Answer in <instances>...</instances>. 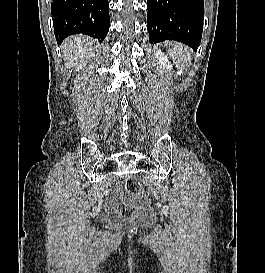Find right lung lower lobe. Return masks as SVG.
<instances>
[{
	"instance_id": "98d812e1",
	"label": "right lung lower lobe",
	"mask_w": 265,
	"mask_h": 273,
	"mask_svg": "<svg viewBox=\"0 0 265 273\" xmlns=\"http://www.w3.org/2000/svg\"><path fill=\"white\" fill-rule=\"evenodd\" d=\"M108 0H53L54 34L61 43L73 34L103 41L109 31Z\"/></svg>"
}]
</instances>
